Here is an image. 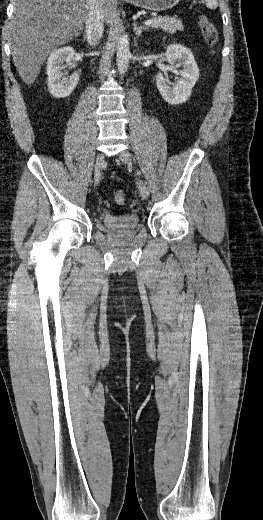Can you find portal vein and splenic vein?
Here are the masks:
<instances>
[{
    "label": "portal vein and splenic vein",
    "mask_w": 263,
    "mask_h": 520,
    "mask_svg": "<svg viewBox=\"0 0 263 520\" xmlns=\"http://www.w3.org/2000/svg\"><path fill=\"white\" fill-rule=\"evenodd\" d=\"M66 19H68L69 17L68 16H65ZM153 23H156V20L154 19H149L147 21H145V25H151Z\"/></svg>",
    "instance_id": "portal-vein-and-splenic-vein-1"
}]
</instances>
